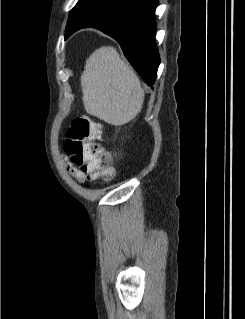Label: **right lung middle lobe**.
<instances>
[{"instance_id":"1","label":"right lung middle lobe","mask_w":245,"mask_h":319,"mask_svg":"<svg viewBox=\"0 0 245 319\" xmlns=\"http://www.w3.org/2000/svg\"><path fill=\"white\" fill-rule=\"evenodd\" d=\"M129 0H83L80 3L81 11L85 12L88 19L96 20L109 14L126 4ZM92 21V22H93ZM76 19H69L68 24H74Z\"/></svg>"}]
</instances>
